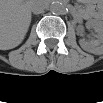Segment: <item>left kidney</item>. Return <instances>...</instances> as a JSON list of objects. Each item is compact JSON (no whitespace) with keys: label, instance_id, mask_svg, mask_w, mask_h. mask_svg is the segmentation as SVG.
<instances>
[{"label":"left kidney","instance_id":"left-kidney-1","mask_svg":"<svg viewBox=\"0 0 103 103\" xmlns=\"http://www.w3.org/2000/svg\"><path fill=\"white\" fill-rule=\"evenodd\" d=\"M86 27L92 28L96 32V39L86 41L85 39H80V46L87 52L99 53L103 50V24L101 21L90 20L86 23Z\"/></svg>","mask_w":103,"mask_h":103}]
</instances>
